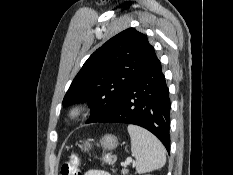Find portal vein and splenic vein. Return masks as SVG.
<instances>
[{"label": "portal vein and splenic vein", "mask_w": 233, "mask_h": 175, "mask_svg": "<svg viewBox=\"0 0 233 175\" xmlns=\"http://www.w3.org/2000/svg\"><path fill=\"white\" fill-rule=\"evenodd\" d=\"M132 161H133V159L131 157H129L126 159V161L123 164L126 166V165H129Z\"/></svg>", "instance_id": "1"}]
</instances>
